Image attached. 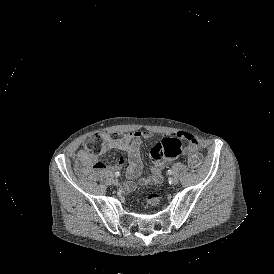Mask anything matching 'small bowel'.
I'll list each match as a JSON object with an SVG mask.
<instances>
[{
	"mask_svg": "<svg viewBox=\"0 0 274 274\" xmlns=\"http://www.w3.org/2000/svg\"><path fill=\"white\" fill-rule=\"evenodd\" d=\"M178 137L169 136L168 138L164 134H157L154 137L152 149L150 150V167L151 175L148 177H142L139 180V184L142 186L149 184H159L163 180L162 170L172 164L183 151L187 148V141L190 144L189 153H199V141L190 133L178 132ZM153 137V133L147 130H135L131 131L123 136L112 137L106 135V141L102 150V153H106L110 150H121L128 154V166L126 169V175L128 181L124 184L126 191H132L136 188V184L133 182L142 171V160L140 155L141 143L143 140H148ZM180 137V138H179ZM74 163L76 170L89 178H92L98 174H103L109 170V167L99 160L98 155L91 154L85 150L78 151L74 156ZM125 164L123 157L119 158L113 169H120Z\"/></svg>",
	"mask_w": 274,
	"mask_h": 274,
	"instance_id": "c3829d8e",
	"label": "small bowel"
}]
</instances>
